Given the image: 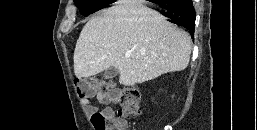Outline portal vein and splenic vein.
<instances>
[{
  "label": "portal vein and splenic vein",
  "mask_w": 257,
  "mask_h": 130,
  "mask_svg": "<svg viewBox=\"0 0 257 130\" xmlns=\"http://www.w3.org/2000/svg\"><path fill=\"white\" fill-rule=\"evenodd\" d=\"M125 57H126V58H129V57H130V53H126V54H125Z\"/></svg>",
  "instance_id": "obj_1"
}]
</instances>
